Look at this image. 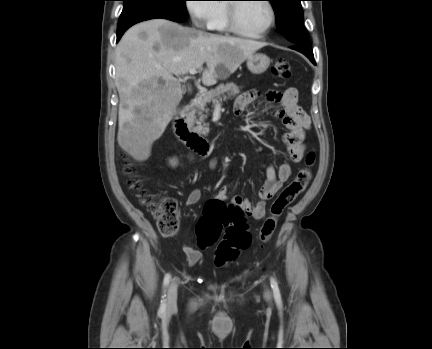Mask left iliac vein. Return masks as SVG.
Segmentation results:
<instances>
[{
  "instance_id": "4c4485c4",
  "label": "left iliac vein",
  "mask_w": 432,
  "mask_h": 349,
  "mask_svg": "<svg viewBox=\"0 0 432 349\" xmlns=\"http://www.w3.org/2000/svg\"><path fill=\"white\" fill-rule=\"evenodd\" d=\"M271 297H272V295H271V291H270L268 288H266V289H265V292H264V298H265V300H266V301H270V300H271Z\"/></svg>"
}]
</instances>
